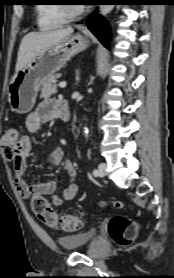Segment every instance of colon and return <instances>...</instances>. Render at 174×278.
<instances>
[{
    "label": "colon",
    "instance_id": "obj_1",
    "mask_svg": "<svg viewBox=\"0 0 174 278\" xmlns=\"http://www.w3.org/2000/svg\"><path fill=\"white\" fill-rule=\"evenodd\" d=\"M17 130H9L2 139L1 145L5 155L13 158V143L18 139ZM115 208H121L122 202L115 200L110 203ZM31 207L38 219L52 229L65 232H72L86 226L83 213L60 215L49 206L48 202L41 195L31 198ZM138 224L123 216H114L108 222V232L111 238L118 245H130L138 232Z\"/></svg>",
    "mask_w": 174,
    "mask_h": 278
}]
</instances>
